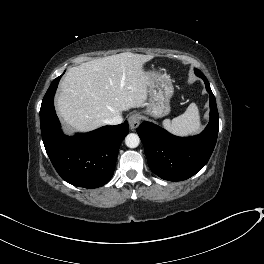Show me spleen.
<instances>
[{
  "label": "spleen",
  "mask_w": 264,
  "mask_h": 264,
  "mask_svg": "<svg viewBox=\"0 0 264 264\" xmlns=\"http://www.w3.org/2000/svg\"><path fill=\"white\" fill-rule=\"evenodd\" d=\"M163 127L178 136H187L198 133L201 129L200 115L195 103H191L186 111L172 120L165 119Z\"/></svg>",
  "instance_id": "3e777b00"
}]
</instances>
